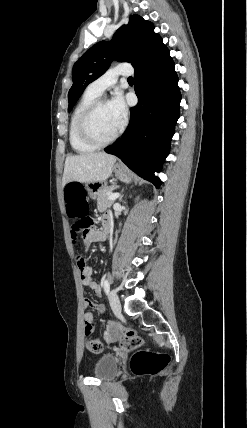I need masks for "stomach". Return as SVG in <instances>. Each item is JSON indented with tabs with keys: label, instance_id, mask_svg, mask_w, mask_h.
I'll use <instances>...</instances> for the list:
<instances>
[{
	"label": "stomach",
	"instance_id": "stomach-1",
	"mask_svg": "<svg viewBox=\"0 0 247 428\" xmlns=\"http://www.w3.org/2000/svg\"><path fill=\"white\" fill-rule=\"evenodd\" d=\"M116 177L123 182H130L131 177L128 170L121 164H117L114 167ZM103 182H92L86 184V189L89 196L94 199L97 197L99 190L104 186Z\"/></svg>",
	"mask_w": 247,
	"mask_h": 428
}]
</instances>
